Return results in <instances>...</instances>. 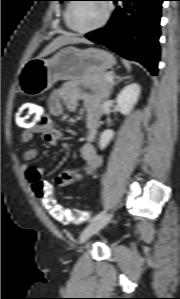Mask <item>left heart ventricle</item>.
<instances>
[{
    "label": "left heart ventricle",
    "instance_id": "b2bd125f",
    "mask_svg": "<svg viewBox=\"0 0 180 299\" xmlns=\"http://www.w3.org/2000/svg\"><path fill=\"white\" fill-rule=\"evenodd\" d=\"M104 13L105 7L103 2H79L74 9L73 23L80 29L90 28L102 20Z\"/></svg>",
    "mask_w": 180,
    "mask_h": 299
}]
</instances>
